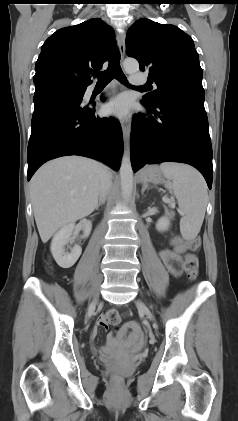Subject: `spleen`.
<instances>
[{
  "mask_svg": "<svg viewBox=\"0 0 238 421\" xmlns=\"http://www.w3.org/2000/svg\"><path fill=\"white\" fill-rule=\"evenodd\" d=\"M160 170L167 178L165 187L172 191L178 201L183 217L180 230L186 239L199 233L208 202L207 185L203 176L187 164L164 162Z\"/></svg>",
  "mask_w": 238,
  "mask_h": 421,
  "instance_id": "obj_1",
  "label": "spleen"
}]
</instances>
